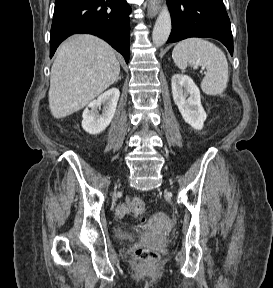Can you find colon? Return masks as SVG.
Masks as SVG:
<instances>
[{
	"label": "colon",
	"instance_id": "5ec220e1",
	"mask_svg": "<svg viewBox=\"0 0 273 288\" xmlns=\"http://www.w3.org/2000/svg\"><path fill=\"white\" fill-rule=\"evenodd\" d=\"M130 209L142 222L146 220L145 202L141 198H133L130 202ZM133 255L143 263L149 265L155 264L158 260V254L156 252L145 248H137Z\"/></svg>",
	"mask_w": 273,
	"mask_h": 288
}]
</instances>
